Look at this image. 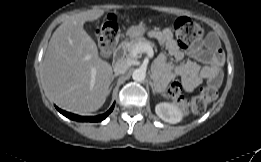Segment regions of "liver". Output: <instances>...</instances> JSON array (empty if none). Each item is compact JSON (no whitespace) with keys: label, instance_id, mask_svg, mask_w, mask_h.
<instances>
[{"label":"liver","instance_id":"liver-1","mask_svg":"<svg viewBox=\"0 0 261 162\" xmlns=\"http://www.w3.org/2000/svg\"><path fill=\"white\" fill-rule=\"evenodd\" d=\"M104 12L93 9L70 16L54 31L45 53L43 78L48 96L76 114L97 111L109 95L112 67L99 57L96 43L83 28L86 21L97 20Z\"/></svg>","mask_w":261,"mask_h":162}]
</instances>
